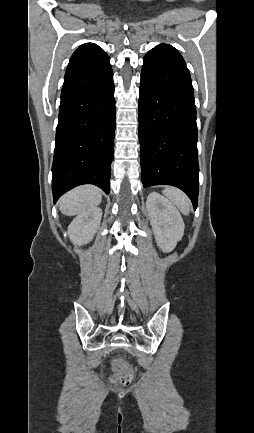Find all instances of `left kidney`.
<instances>
[{
  "label": "left kidney",
  "mask_w": 254,
  "mask_h": 433,
  "mask_svg": "<svg viewBox=\"0 0 254 433\" xmlns=\"http://www.w3.org/2000/svg\"><path fill=\"white\" fill-rule=\"evenodd\" d=\"M146 207L157 246L163 252H171L184 234V222L179 211L165 197L151 192Z\"/></svg>",
  "instance_id": "obj_1"
}]
</instances>
